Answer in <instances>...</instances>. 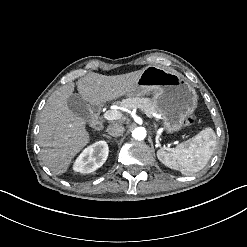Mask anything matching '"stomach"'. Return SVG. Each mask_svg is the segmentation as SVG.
<instances>
[{
  "instance_id": "stomach-1",
  "label": "stomach",
  "mask_w": 247,
  "mask_h": 247,
  "mask_svg": "<svg viewBox=\"0 0 247 247\" xmlns=\"http://www.w3.org/2000/svg\"><path fill=\"white\" fill-rule=\"evenodd\" d=\"M153 95L157 111L171 130L180 129L196 109L197 92L179 72L149 65L142 71L127 97Z\"/></svg>"
}]
</instances>
